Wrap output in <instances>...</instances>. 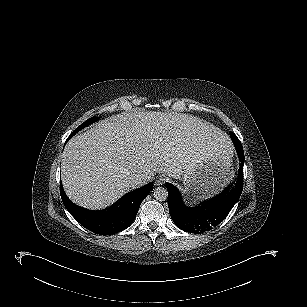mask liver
Wrapping results in <instances>:
<instances>
[{
  "label": "liver",
  "instance_id": "6515ba94",
  "mask_svg": "<svg viewBox=\"0 0 307 307\" xmlns=\"http://www.w3.org/2000/svg\"><path fill=\"white\" fill-rule=\"evenodd\" d=\"M217 130L196 117L131 111L113 115L65 146L62 183L67 196L89 209L109 206L142 177L182 178L215 156Z\"/></svg>",
  "mask_w": 307,
  "mask_h": 307
}]
</instances>
